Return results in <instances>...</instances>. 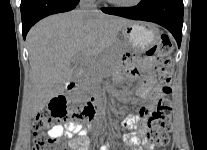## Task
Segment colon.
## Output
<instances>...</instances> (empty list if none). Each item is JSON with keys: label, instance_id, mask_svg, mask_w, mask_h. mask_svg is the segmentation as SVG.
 Returning a JSON list of instances; mask_svg holds the SVG:
<instances>
[{"label": "colon", "instance_id": "colon-1", "mask_svg": "<svg viewBox=\"0 0 207 150\" xmlns=\"http://www.w3.org/2000/svg\"><path fill=\"white\" fill-rule=\"evenodd\" d=\"M171 50L170 38L162 35L158 43L147 52L149 57L157 61L156 72L164 94L148 116V130L145 134V144L148 147L166 146L170 140L172 105L168 96L171 93L173 63L167 56ZM49 104V108L41 110L34 118L32 150H67L58 138L49 135V131L68 118L77 119L83 116L78 112L69 113L66 108L67 100H50Z\"/></svg>", "mask_w": 207, "mask_h": 150}]
</instances>
